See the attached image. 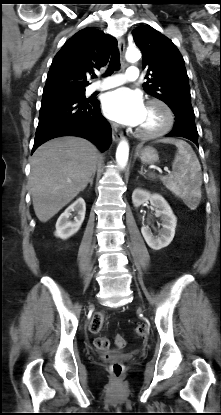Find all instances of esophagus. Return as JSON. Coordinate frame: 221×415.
I'll list each match as a JSON object with an SVG mask.
<instances>
[{"instance_id":"1","label":"esophagus","mask_w":221,"mask_h":415,"mask_svg":"<svg viewBox=\"0 0 221 415\" xmlns=\"http://www.w3.org/2000/svg\"><path fill=\"white\" fill-rule=\"evenodd\" d=\"M118 49H119V52L121 54L122 61H125V59H124V54H125V40L122 37H119V39H118ZM112 137H113V140L115 142H118L119 140H121L123 138V134L120 133V132L113 131Z\"/></svg>"}]
</instances>
